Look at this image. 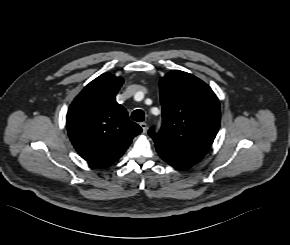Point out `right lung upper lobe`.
Wrapping results in <instances>:
<instances>
[{"instance_id":"right-lung-upper-lobe-1","label":"right lung upper lobe","mask_w":290,"mask_h":245,"mask_svg":"<svg viewBox=\"0 0 290 245\" xmlns=\"http://www.w3.org/2000/svg\"><path fill=\"white\" fill-rule=\"evenodd\" d=\"M122 84V78L104 73L90 82L68 109L66 124L74 148L99 167L117 161L142 131L115 100Z\"/></svg>"}]
</instances>
